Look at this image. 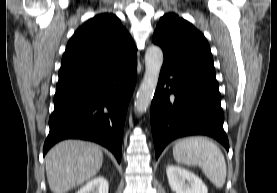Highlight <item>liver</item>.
I'll use <instances>...</instances> for the list:
<instances>
[{
  "label": "liver",
  "instance_id": "liver-1",
  "mask_svg": "<svg viewBox=\"0 0 277 193\" xmlns=\"http://www.w3.org/2000/svg\"><path fill=\"white\" fill-rule=\"evenodd\" d=\"M103 163L101 148L81 140H65L55 145L46 155L45 168L50 190L66 193L89 181Z\"/></svg>",
  "mask_w": 277,
  "mask_h": 193
}]
</instances>
